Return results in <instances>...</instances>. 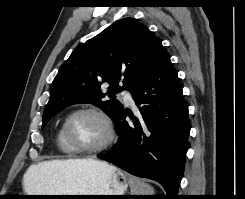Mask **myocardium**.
<instances>
[{"label":"myocardium","instance_id":"obj_1","mask_svg":"<svg viewBox=\"0 0 245 199\" xmlns=\"http://www.w3.org/2000/svg\"><path fill=\"white\" fill-rule=\"evenodd\" d=\"M80 114H93L103 122L106 128L107 135H106V139L99 146L93 148L80 147L72 139L69 132V124L75 116ZM62 131L66 142L72 148V150L77 154H83V155L100 154L106 151L108 148H110V146L113 144L115 140V129L111 118L108 116L106 112H104L103 110L97 107H82L71 111L63 122Z\"/></svg>","mask_w":245,"mask_h":199}]
</instances>
